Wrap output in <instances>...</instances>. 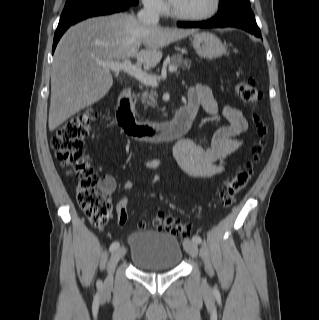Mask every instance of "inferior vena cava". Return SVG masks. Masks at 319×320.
Here are the masks:
<instances>
[{"label": "inferior vena cava", "instance_id": "1", "mask_svg": "<svg viewBox=\"0 0 319 320\" xmlns=\"http://www.w3.org/2000/svg\"><path fill=\"white\" fill-rule=\"evenodd\" d=\"M139 21L146 25H157L159 22V8L155 2L147 0L144 8L137 14Z\"/></svg>", "mask_w": 319, "mask_h": 320}]
</instances>
